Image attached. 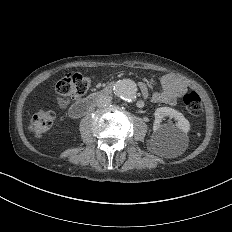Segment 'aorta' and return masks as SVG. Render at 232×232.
Masks as SVG:
<instances>
[{
    "label": "aorta",
    "mask_w": 232,
    "mask_h": 232,
    "mask_svg": "<svg viewBox=\"0 0 232 232\" xmlns=\"http://www.w3.org/2000/svg\"><path fill=\"white\" fill-rule=\"evenodd\" d=\"M136 92V84L131 80H120L114 86L115 95L128 102L134 100Z\"/></svg>",
    "instance_id": "762f6f07"
}]
</instances>
